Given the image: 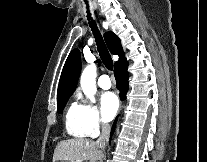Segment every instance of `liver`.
Segmentation results:
<instances>
[{"label":"liver","instance_id":"1","mask_svg":"<svg viewBox=\"0 0 207 162\" xmlns=\"http://www.w3.org/2000/svg\"><path fill=\"white\" fill-rule=\"evenodd\" d=\"M103 153L96 143L87 139H67L57 144L53 162L61 161H90L102 160Z\"/></svg>","mask_w":207,"mask_h":162}]
</instances>
